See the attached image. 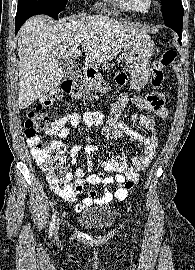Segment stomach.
<instances>
[{"instance_id": "stomach-1", "label": "stomach", "mask_w": 195, "mask_h": 270, "mask_svg": "<svg viewBox=\"0 0 195 270\" xmlns=\"http://www.w3.org/2000/svg\"><path fill=\"white\" fill-rule=\"evenodd\" d=\"M154 50V41L146 35L132 37L125 47V63L130 74V85L135 90H141L150 77V58ZM90 85L102 92L111 88L99 74L89 80Z\"/></svg>"}]
</instances>
